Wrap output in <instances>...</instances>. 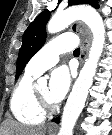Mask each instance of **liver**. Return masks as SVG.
<instances>
[{"mask_svg":"<svg viewBox=\"0 0 112 135\" xmlns=\"http://www.w3.org/2000/svg\"><path fill=\"white\" fill-rule=\"evenodd\" d=\"M45 131V127L28 128L14 121H7L3 124L2 135H45Z\"/></svg>","mask_w":112,"mask_h":135,"instance_id":"liver-1","label":"liver"}]
</instances>
